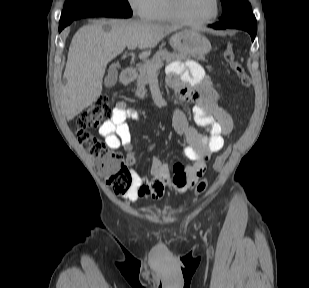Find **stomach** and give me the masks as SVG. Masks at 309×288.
I'll use <instances>...</instances> for the list:
<instances>
[{
	"label": "stomach",
	"mask_w": 309,
	"mask_h": 288,
	"mask_svg": "<svg viewBox=\"0 0 309 288\" xmlns=\"http://www.w3.org/2000/svg\"><path fill=\"white\" fill-rule=\"evenodd\" d=\"M170 45L180 54L187 57H201L211 50L209 40L191 29H183L170 37Z\"/></svg>",
	"instance_id": "1"
}]
</instances>
